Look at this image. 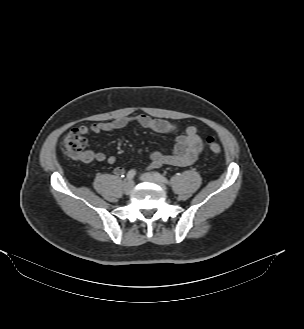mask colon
I'll return each instance as SVG.
<instances>
[{"mask_svg": "<svg viewBox=\"0 0 304 329\" xmlns=\"http://www.w3.org/2000/svg\"><path fill=\"white\" fill-rule=\"evenodd\" d=\"M206 145L209 150L214 154L221 152V146L212 136H208L205 139ZM63 148L66 155L74 160L81 159L84 154L86 146L85 138L79 128H70L63 137L62 140Z\"/></svg>", "mask_w": 304, "mask_h": 329, "instance_id": "5ec220e1", "label": "colon"}]
</instances>
